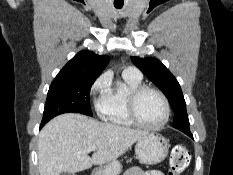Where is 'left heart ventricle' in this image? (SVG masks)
Listing matches in <instances>:
<instances>
[{
	"label": "left heart ventricle",
	"mask_w": 233,
	"mask_h": 175,
	"mask_svg": "<svg viewBox=\"0 0 233 175\" xmlns=\"http://www.w3.org/2000/svg\"><path fill=\"white\" fill-rule=\"evenodd\" d=\"M137 113L143 123L147 125L159 124L165 114L161 98L152 91L144 92L138 99Z\"/></svg>",
	"instance_id": "1"
}]
</instances>
